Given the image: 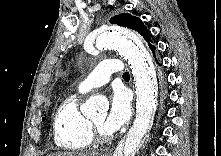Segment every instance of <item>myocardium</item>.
<instances>
[{
  "label": "myocardium",
  "mask_w": 221,
  "mask_h": 156,
  "mask_svg": "<svg viewBox=\"0 0 221 156\" xmlns=\"http://www.w3.org/2000/svg\"><path fill=\"white\" fill-rule=\"evenodd\" d=\"M89 133L92 141L95 142H107L111 139L110 134L101 131L92 120H89Z\"/></svg>",
  "instance_id": "f54148a6"
}]
</instances>
